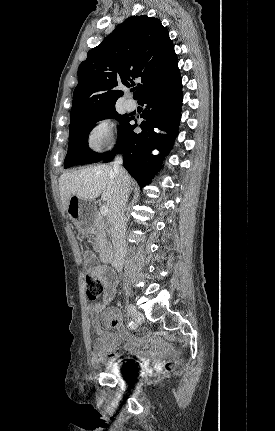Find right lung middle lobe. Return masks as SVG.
I'll return each mask as SVG.
<instances>
[{
  "instance_id": "1",
  "label": "right lung middle lobe",
  "mask_w": 275,
  "mask_h": 431,
  "mask_svg": "<svg viewBox=\"0 0 275 431\" xmlns=\"http://www.w3.org/2000/svg\"><path fill=\"white\" fill-rule=\"evenodd\" d=\"M116 118L120 121L118 140L123 136L129 122L128 115H119L115 107L107 108L70 122L68 152L65 158V168L99 162L105 155L92 152L88 147V135L94 124L100 120Z\"/></svg>"
}]
</instances>
